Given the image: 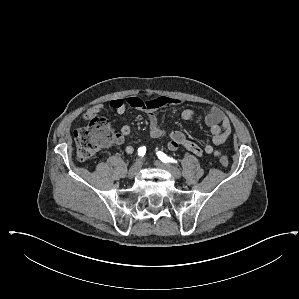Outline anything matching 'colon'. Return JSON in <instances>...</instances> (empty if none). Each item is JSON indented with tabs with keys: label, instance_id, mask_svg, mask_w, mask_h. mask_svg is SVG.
Listing matches in <instances>:
<instances>
[{
	"label": "colon",
	"instance_id": "1",
	"mask_svg": "<svg viewBox=\"0 0 299 299\" xmlns=\"http://www.w3.org/2000/svg\"><path fill=\"white\" fill-rule=\"evenodd\" d=\"M74 142L77 158L80 161H87L98 151L109 147L116 138L108 120L101 116H94L87 124L74 131ZM220 164L224 167L229 165L226 156L219 158Z\"/></svg>",
	"mask_w": 299,
	"mask_h": 299
}]
</instances>
